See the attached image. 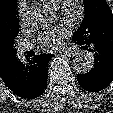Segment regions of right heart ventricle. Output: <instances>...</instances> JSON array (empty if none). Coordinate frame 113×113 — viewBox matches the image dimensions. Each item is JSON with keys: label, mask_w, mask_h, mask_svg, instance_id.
I'll use <instances>...</instances> for the list:
<instances>
[{"label": "right heart ventricle", "mask_w": 113, "mask_h": 113, "mask_svg": "<svg viewBox=\"0 0 113 113\" xmlns=\"http://www.w3.org/2000/svg\"><path fill=\"white\" fill-rule=\"evenodd\" d=\"M44 4L50 6V7H53V8H56L59 0H41Z\"/></svg>", "instance_id": "1"}]
</instances>
